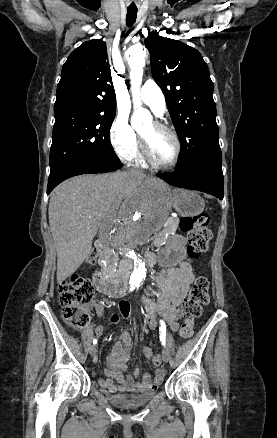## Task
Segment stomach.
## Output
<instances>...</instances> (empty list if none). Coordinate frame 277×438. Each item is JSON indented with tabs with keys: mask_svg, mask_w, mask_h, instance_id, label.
<instances>
[{
	"mask_svg": "<svg viewBox=\"0 0 277 438\" xmlns=\"http://www.w3.org/2000/svg\"><path fill=\"white\" fill-rule=\"evenodd\" d=\"M172 204L181 217H194L205 208L204 200L193 191L176 189L173 191ZM186 240L180 235H172L162 251L159 262L162 266L173 267L184 258Z\"/></svg>",
	"mask_w": 277,
	"mask_h": 438,
	"instance_id": "obj_1",
	"label": "stomach"
}]
</instances>
